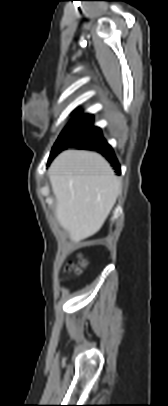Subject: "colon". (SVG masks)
Wrapping results in <instances>:
<instances>
[{
    "mask_svg": "<svg viewBox=\"0 0 168 406\" xmlns=\"http://www.w3.org/2000/svg\"><path fill=\"white\" fill-rule=\"evenodd\" d=\"M87 265V261L84 258H79L77 262H70L66 265L65 270L67 273L74 275H81L84 268Z\"/></svg>",
    "mask_w": 168,
    "mask_h": 406,
    "instance_id": "obj_1",
    "label": "colon"
}]
</instances>
